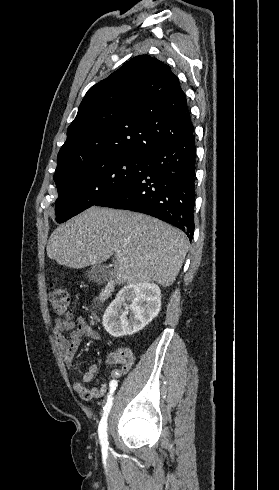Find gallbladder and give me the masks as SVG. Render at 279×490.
Returning a JSON list of instances; mask_svg holds the SVG:
<instances>
[{"mask_svg": "<svg viewBox=\"0 0 279 490\" xmlns=\"http://www.w3.org/2000/svg\"><path fill=\"white\" fill-rule=\"evenodd\" d=\"M86 276L89 282L105 284L111 276V268H107V266H91V268L87 270Z\"/></svg>", "mask_w": 279, "mask_h": 490, "instance_id": "gallbladder-1", "label": "gallbladder"}]
</instances>
